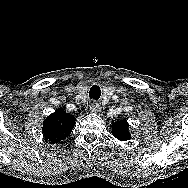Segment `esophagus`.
I'll return each mask as SVG.
<instances>
[{"label":"esophagus","instance_id":"1","mask_svg":"<svg viewBox=\"0 0 188 188\" xmlns=\"http://www.w3.org/2000/svg\"><path fill=\"white\" fill-rule=\"evenodd\" d=\"M100 104L96 101H91L89 105V111L92 113H96L100 111Z\"/></svg>","mask_w":188,"mask_h":188}]
</instances>
